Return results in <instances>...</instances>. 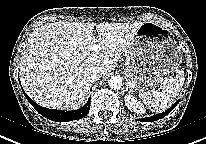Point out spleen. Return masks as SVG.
Masks as SVG:
<instances>
[{
	"label": "spleen",
	"instance_id": "1",
	"mask_svg": "<svg viewBox=\"0 0 206 144\" xmlns=\"http://www.w3.org/2000/svg\"><path fill=\"white\" fill-rule=\"evenodd\" d=\"M182 71L175 78H170L158 88L142 92L140 98L153 112L159 113L169 108L180 94L184 83Z\"/></svg>",
	"mask_w": 206,
	"mask_h": 144
}]
</instances>
